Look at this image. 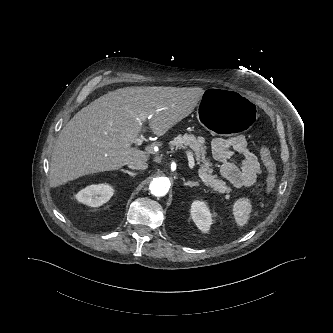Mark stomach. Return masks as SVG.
<instances>
[{
  "instance_id": "1",
  "label": "stomach",
  "mask_w": 333,
  "mask_h": 333,
  "mask_svg": "<svg viewBox=\"0 0 333 333\" xmlns=\"http://www.w3.org/2000/svg\"><path fill=\"white\" fill-rule=\"evenodd\" d=\"M256 106L243 93L210 89L197 103V118L202 126L219 135H232L250 128L256 119Z\"/></svg>"
}]
</instances>
